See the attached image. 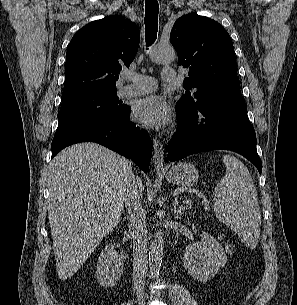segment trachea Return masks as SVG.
Instances as JSON below:
<instances>
[{
    "mask_svg": "<svg viewBox=\"0 0 297 305\" xmlns=\"http://www.w3.org/2000/svg\"><path fill=\"white\" fill-rule=\"evenodd\" d=\"M158 11H159V5L157 0H146L145 2L146 46L152 45L157 38Z\"/></svg>",
    "mask_w": 297,
    "mask_h": 305,
    "instance_id": "obj_1",
    "label": "trachea"
}]
</instances>
